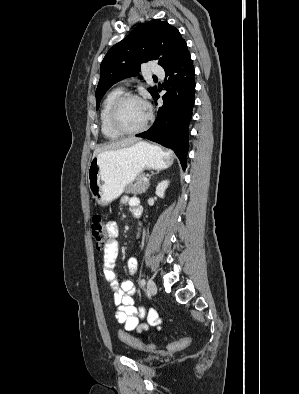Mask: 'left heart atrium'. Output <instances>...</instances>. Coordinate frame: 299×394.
<instances>
[{
    "label": "left heart atrium",
    "instance_id": "obj_1",
    "mask_svg": "<svg viewBox=\"0 0 299 394\" xmlns=\"http://www.w3.org/2000/svg\"><path fill=\"white\" fill-rule=\"evenodd\" d=\"M145 105H146V107H147V109H148V104H146V103H144Z\"/></svg>",
    "mask_w": 299,
    "mask_h": 394
}]
</instances>
